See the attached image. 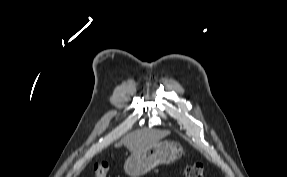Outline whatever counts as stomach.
<instances>
[{
  "instance_id": "0dacf381",
  "label": "stomach",
  "mask_w": 287,
  "mask_h": 177,
  "mask_svg": "<svg viewBox=\"0 0 287 177\" xmlns=\"http://www.w3.org/2000/svg\"><path fill=\"white\" fill-rule=\"evenodd\" d=\"M183 148L179 143L162 141L143 150L132 152L124 164V170L130 177H140L159 164H169L179 159Z\"/></svg>"
}]
</instances>
